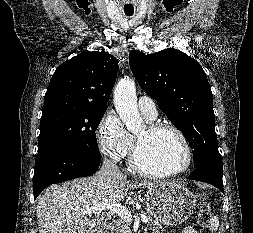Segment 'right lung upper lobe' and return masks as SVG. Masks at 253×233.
Returning a JSON list of instances; mask_svg holds the SVG:
<instances>
[{
    "label": "right lung upper lobe",
    "instance_id": "1",
    "mask_svg": "<svg viewBox=\"0 0 253 233\" xmlns=\"http://www.w3.org/2000/svg\"><path fill=\"white\" fill-rule=\"evenodd\" d=\"M118 72V61L107 52H83L54 72L45 104L87 103L107 106Z\"/></svg>",
    "mask_w": 253,
    "mask_h": 233
}]
</instances>
